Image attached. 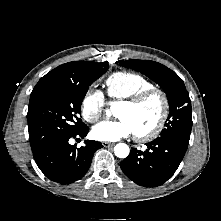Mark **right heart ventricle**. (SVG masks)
<instances>
[{"label": "right heart ventricle", "instance_id": "obj_1", "mask_svg": "<svg viewBox=\"0 0 221 221\" xmlns=\"http://www.w3.org/2000/svg\"><path fill=\"white\" fill-rule=\"evenodd\" d=\"M153 87L144 76L128 71L115 72L105 80L106 94L112 101L128 99Z\"/></svg>", "mask_w": 221, "mask_h": 221}]
</instances>
